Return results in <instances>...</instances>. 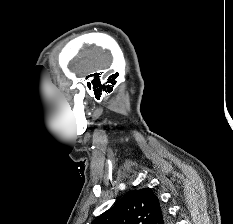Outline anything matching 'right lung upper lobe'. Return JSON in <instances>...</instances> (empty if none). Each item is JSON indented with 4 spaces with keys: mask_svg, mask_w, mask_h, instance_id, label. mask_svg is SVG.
I'll return each instance as SVG.
<instances>
[{
    "mask_svg": "<svg viewBox=\"0 0 233 224\" xmlns=\"http://www.w3.org/2000/svg\"><path fill=\"white\" fill-rule=\"evenodd\" d=\"M166 211L150 189L127 193L112 208L97 217L92 224H168Z\"/></svg>",
    "mask_w": 233,
    "mask_h": 224,
    "instance_id": "cb5924a9",
    "label": "right lung upper lobe"
}]
</instances>
